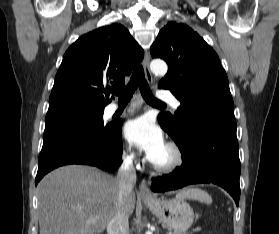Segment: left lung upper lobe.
I'll return each instance as SVG.
<instances>
[{
  "label": "left lung upper lobe",
  "instance_id": "5c2ea615",
  "mask_svg": "<svg viewBox=\"0 0 279 234\" xmlns=\"http://www.w3.org/2000/svg\"><path fill=\"white\" fill-rule=\"evenodd\" d=\"M153 58L168 64L159 88L169 89L180 101L174 116L160 113L158 122L179 148L185 144L188 122L194 116L235 119L234 103L225 70L216 52L198 33L182 23L169 22L150 48Z\"/></svg>",
  "mask_w": 279,
  "mask_h": 234
}]
</instances>
